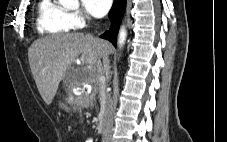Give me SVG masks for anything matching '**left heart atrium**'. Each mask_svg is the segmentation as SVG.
<instances>
[{"mask_svg":"<svg viewBox=\"0 0 227 142\" xmlns=\"http://www.w3.org/2000/svg\"><path fill=\"white\" fill-rule=\"evenodd\" d=\"M112 0H82L84 9L94 17L104 16L110 9Z\"/></svg>","mask_w":227,"mask_h":142,"instance_id":"1","label":"left heart atrium"}]
</instances>
